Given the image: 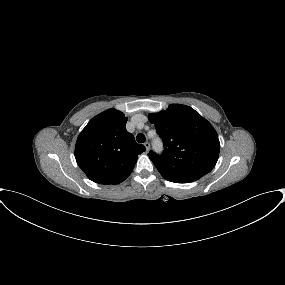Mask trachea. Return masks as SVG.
Wrapping results in <instances>:
<instances>
[{
  "label": "trachea",
  "instance_id": "1",
  "mask_svg": "<svg viewBox=\"0 0 285 285\" xmlns=\"http://www.w3.org/2000/svg\"><path fill=\"white\" fill-rule=\"evenodd\" d=\"M145 135L144 134H142V133H139L138 135H137V137H136V140H137V142H139V143H144L145 142Z\"/></svg>",
  "mask_w": 285,
  "mask_h": 285
}]
</instances>
